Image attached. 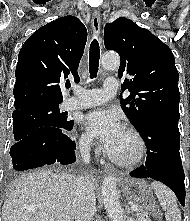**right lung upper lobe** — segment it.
Segmentation results:
<instances>
[{
    "label": "right lung upper lobe",
    "mask_w": 190,
    "mask_h": 221,
    "mask_svg": "<svg viewBox=\"0 0 190 221\" xmlns=\"http://www.w3.org/2000/svg\"><path fill=\"white\" fill-rule=\"evenodd\" d=\"M86 41V27L74 16L58 18L33 33L18 55L13 114L61 103L63 82L68 76L80 80L77 69Z\"/></svg>",
    "instance_id": "1"
}]
</instances>
